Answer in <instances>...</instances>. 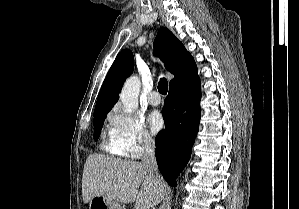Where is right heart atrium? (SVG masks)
Segmentation results:
<instances>
[{"label":"right heart atrium","instance_id":"1","mask_svg":"<svg viewBox=\"0 0 299 209\" xmlns=\"http://www.w3.org/2000/svg\"><path fill=\"white\" fill-rule=\"evenodd\" d=\"M108 120L110 139L120 155L138 158L154 147V140L140 118L128 115L116 107Z\"/></svg>","mask_w":299,"mask_h":209}]
</instances>
